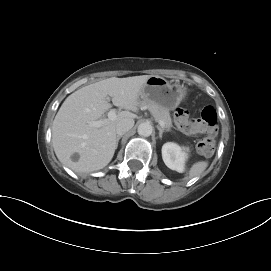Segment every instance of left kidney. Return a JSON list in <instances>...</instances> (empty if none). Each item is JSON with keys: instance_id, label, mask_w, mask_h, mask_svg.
<instances>
[{"instance_id": "obj_1", "label": "left kidney", "mask_w": 271, "mask_h": 271, "mask_svg": "<svg viewBox=\"0 0 271 271\" xmlns=\"http://www.w3.org/2000/svg\"><path fill=\"white\" fill-rule=\"evenodd\" d=\"M162 158L168 168L182 173L185 170L188 149L180 147L176 143L167 142L162 146Z\"/></svg>"}]
</instances>
